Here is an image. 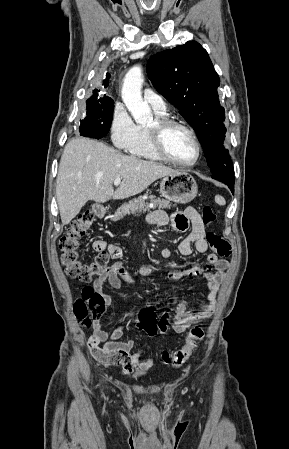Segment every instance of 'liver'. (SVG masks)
<instances>
[{
	"label": "liver",
	"mask_w": 289,
	"mask_h": 449,
	"mask_svg": "<svg viewBox=\"0 0 289 449\" xmlns=\"http://www.w3.org/2000/svg\"><path fill=\"white\" fill-rule=\"evenodd\" d=\"M177 171L145 161L86 138L70 140L63 151L56 180V196L63 225L79 214L89 200L104 203L144 191L159 178ZM122 182L114 191L113 182Z\"/></svg>",
	"instance_id": "1"
}]
</instances>
